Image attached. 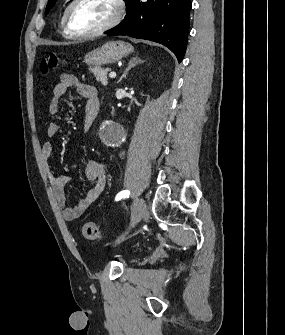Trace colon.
<instances>
[{"label": "colon", "mask_w": 285, "mask_h": 335, "mask_svg": "<svg viewBox=\"0 0 285 335\" xmlns=\"http://www.w3.org/2000/svg\"><path fill=\"white\" fill-rule=\"evenodd\" d=\"M62 65L63 59L56 53H50L42 59L40 71L42 74L46 75L51 71L61 68ZM82 234L89 240H97L101 236L99 227L93 222H86L82 226Z\"/></svg>", "instance_id": "1"}]
</instances>
